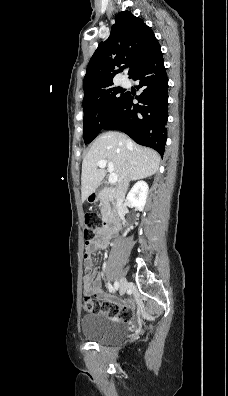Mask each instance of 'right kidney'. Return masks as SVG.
<instances>
[{"instance_id": "right-kidney-1", "label": "right kidney", "mask_w": 228, "mask_h": 396, "mask_svg": "<svg viewBox=\"0 0 228 396\" xmlns=\"http://www.w3.org/2000/svg\"><path fill=\"white\" fill-rule=\"evenodd\" d=\"M148 184L138 181L128 193L126 200L128 204L139 211H143L148 196Z\"/></svg>"}]
</instances>
